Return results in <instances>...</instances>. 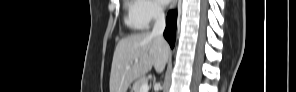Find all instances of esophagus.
I'll use <instances>...</instances> for the list:
<instances>
[{
  "label": "esophagus",
  "mask_w": 296,
  "mask_h": 92,
  "mask_svg": "<svg viewBox=\"0 0 296 92\" xmlns=\"http://www.w3.org/2000/svg\"><path fill=\"white\" fill-rule=\"evenodd\" d=\"M176 4H177V0H172L171 9H174L176 7Z\"/></svg>",
  "instance_id": "1"
}]
</instances>
